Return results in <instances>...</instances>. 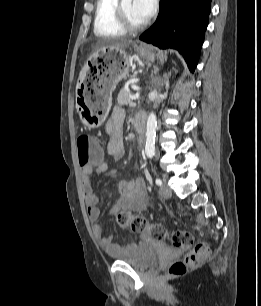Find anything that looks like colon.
<instances>
[{
	"label": "colon",
	"mask_w": 261,
	"mask_h": 306,
	"mask_svg": "<svg viewBox=\"0 0 261 306\" xmlns=\"http://www.w3.org/2000/svg\"><path fill=\"white\" fill-rule=\"evenodd\" d=\"M78 160L82 167L92 163H97L102 159L103 152L101 146L92 140L88 134H81L77 138ZM116 220L122 228L148 235L149 237L165 241L170 240L177 249H189L193 245L194 238L191 232L187 230H175L170 232L160 224L152 223L142 216H133L132 214L119 211L116 214ZM209 255V249L205 245H197L190 249L182 259L174 261L170 266V273L174 276L184 274L189 268H193L203 263Z\"/></svg>",
	"instance_id": "colon-1"
}]
</instances>
